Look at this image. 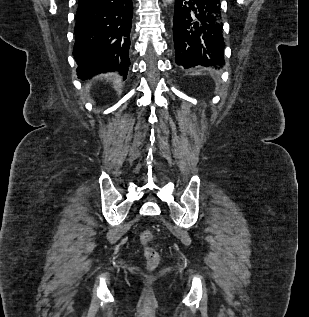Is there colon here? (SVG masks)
Here are the masks:
<instances>
[{
    "label": "colon",
    "instance_id": "1",
    "mask_svg": "<svg viewBox=\"0 0 309 317\" xmlns=\"http://www.w3.org/2000/svg\"><path fill=\"white\" fill-rule=\"evenodd\" d=\"M139 239L144 247V256L146 258L147 266L150 270L155 269L160 261L158 251L151 245L153 241V233L150 230H143Z\"/></svg>",
    "mask_w": 309,
    "mask_h": 317
}]
</instances>
